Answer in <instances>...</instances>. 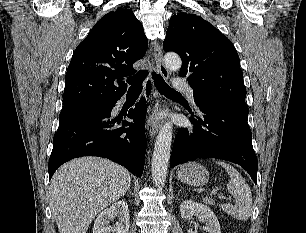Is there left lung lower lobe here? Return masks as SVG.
<instances>
[{
  "label": "left lung lower lobe",
  "instance_id": "1",
  "mask_svg": "<svg viewBox=\"0 0 306 233\" xmlns=\"http://www.w3.org/2000/svg\"><path fill=\"white\" fill-rule=\"evenodd\" d=\"M201 116L192 114V129L181 128L176 135L170 167L196 158H218L242 166L257 184L258 163L244 105L214 101L197 104Z\"/></svg>",
  "mask_w": 306,
  "mask_h": 233
}]
</instances>
